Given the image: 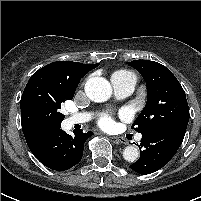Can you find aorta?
Returning a JSON list of instances; mask_svg holds the SVG:
<instances>
[{
  "mask_svg": "<svg viewBox=\"0 0 201 201\" xmlns=\"http://www.w3.org/2000/svg\"><path fill=\"white\" fill-rule=\"evenodd\" d=\"M88 98L94 102L107 101L112 94L110 83L103 77H92L85 84ZM139 157V150L135 146H127L123 150V158L128 162H135Z\"/></svg>",
  "mask_w": 201,
  "mask_h": 201,
  "instance_id": "obj_1",
  "label": "aorta"
}]
</instances>
